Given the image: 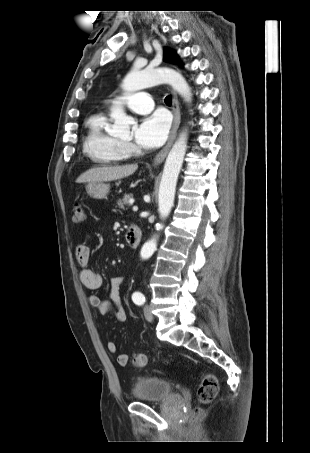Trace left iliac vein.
Wrapping results in <instances>:
<instances>
[{"instance_id":"4c4485c4","label":"left iliac vein","mask_w":310,"mask_h":453,"mask_svg":"<svg viewBox=\"0 0 310 453\" xmlns=\"http://www.w3.org/2000/svg\"><path fill=\"white\" fill-rule=\"evenodd\" d=\"M144 316H145L146 320H148V321L153 320V315H152L151 309L148 305L144 306Z\"/></svg>"}]
</instances>
